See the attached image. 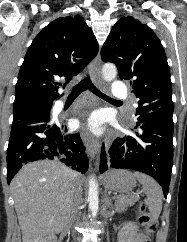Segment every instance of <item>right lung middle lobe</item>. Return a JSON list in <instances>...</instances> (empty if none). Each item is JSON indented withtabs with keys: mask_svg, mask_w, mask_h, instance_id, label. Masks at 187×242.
I'll return each instance as SVG.
<instances>
[{
	"mask_svg": "<svg viewBox=\"0 0 187 242\" xmlns=\"http://www.w3.org/2000/svg\"><path fill=\"white\" fill-rule=\"evenodd\" d=\"M52 104H30L13 107V121H19L29 116L50 112Z\"/></svg>",
	"mask_w": 187,
	"mask_h": 242,
	"instance_id": "obj_1",
	"label": "right lung middle lobe"
}]
</instances>
